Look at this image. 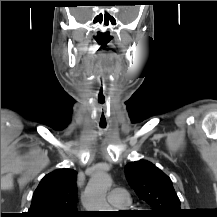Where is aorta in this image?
<instances>
[{"instance_id":"762f6f07","label":"aorta","mask_w":217,"mask_h":217,"mask_svg":"<svg viewBox=\"0 0 217 217\" xmlns=\"http://www.w3.org/2000/svg\"><path fill=\"white\" fill-rule=\"evenodd\" d=\"M112 185L110 176L97 170L90 178L82 195V202L87 211H111L106 202V193Z\"/></svg>"}]
</instances>
